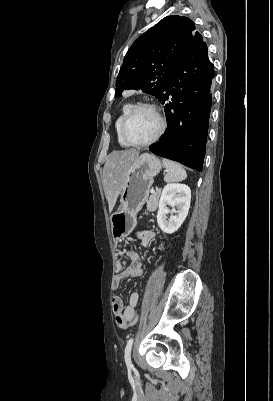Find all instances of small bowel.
<instances>
[{
	"label": "small bowel",
	"mask_w": 273,
	"mask_h": 401,
	"mask_svg": "<svg viewBox=\"0 0 273 401\" xmlns=\"http://www.w3.org/2000/svg\"><path fill=\"white\" fill-rule=\"evenodd\" d=\"M138 233V232H136ZM153 239V233L147 229L142 237L141 244L144 247L150 245ZM128 262V265H126ZM115 277L113 280V287L118 289L122 281L127 277H139L144 273V267L140 261L139 254L134 250H123L116 248L115 250ZM140 299L138 292H132L129 296L128 304L124 305L120 296L113 298L112 307L116 319V324L120 328H126L134 325L138 321V314L136 307Z\"/></svg>",
	"instance_id": "obj_1"
}]
</instances>
